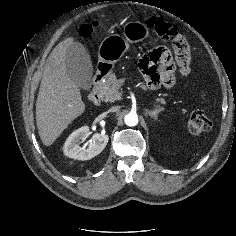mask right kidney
I'll return each mask as SVG.
<instances>
[{"instance_id":"right-kidney-1","label":"right kidney","mask_w":236,"mask_h":236,"mask_svg":"<svg viewBox=\"0 0 236 236\" xmlns=\"http://www.w3.org/2000/svg\"><path fill=\"white\" fill-rule=\"evenodd\" d=\"M90 135L88 126H83L69 135L65 141L63 151L64 154L77 160H90L100 154L106 147L109 137L106 134L96 133L92 136L88 148L81 147L80 143Z\"/></svg>"}]
</instances>
